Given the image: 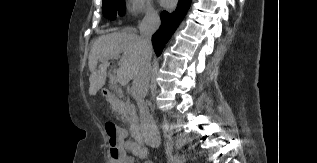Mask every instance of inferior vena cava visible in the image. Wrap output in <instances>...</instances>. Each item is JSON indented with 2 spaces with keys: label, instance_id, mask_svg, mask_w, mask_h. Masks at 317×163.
I'll return each instance as SVG.
<instances>
[{
  "label": "inferior vena cava",
  "instance_id": "602c4592",
  "mask_svg": "<svg viewBox=\"0 0 317 163\" xmlns=\"http://www.w3.org/2000/svg\"><path fill=\"white\" fill-rule=\"evenodd\" d=\"M160 26V17L157 12L149 10L146 12L139 25L143 59L133 81V96L137 102L140 115V132L145 143L151 147H159L161 143L160 134L153 116L150 114L144 99L148 93V84L151 71L152 57V35Z\"/></svg>",
  "mask_w": 317,
  "mask_h": 163
}]
</instances>
